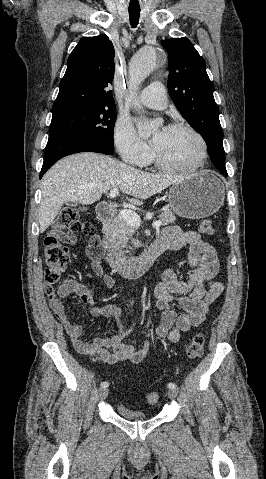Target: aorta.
<instances>
[{
	"mask_svg": "<svg viewBox=\"0 0 266 479\" xmlns=\"http://www.w3.org/2000/svg\"><path fill=\"white\" fill-rule=\"evenodd\" d=\"M159 58L158 50L148 47L137 52L129 63V76L131 81L130 94L127 101L138 106L135 93L138 85L151 73L155 68ZM156 124L148 122H139L137 124L138 132L141 135H148Z\"/></svg>",
	"mask_w": 266,
	"mask_h": 479,
	"instance_id": "1",
	"label": "aorta"
}]
</instances>
